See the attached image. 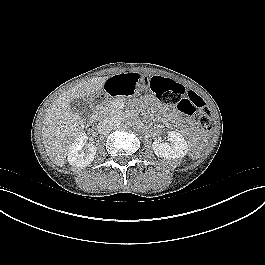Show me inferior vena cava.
<instances>
[{"mask_svg":"<svg viewBox=\"0 0 265 265\" xmlns=\"http://www.w3.org/2000/svg\"><path fill=\"white\" fill-rule=\"evenodd\" d=\"M113 124L109 119H102L98 125L97 130L100 134H108L112 130Z\"/></svg>","mask_w":265,"mask_h":265,"instance_id":"inferior-vena-cava-1","label":"inferior vena cava"}]
</instances>
